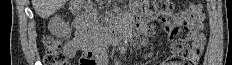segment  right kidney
<instances>
[{
    "label": "right kidney",
    "mask_w": 232,
    "mask_h": 65,
    "mask_svg": "<svg viewBox=\"0 0 232 65\" xmlns=\"http://www.w3.org/2000/svg\"><path fill=\"white\" fill-rule=\"evenodd\" d=\"M48 29L57 37L66 36L71 33V29L60 16H55L50 20Z\"/></svg>",
    "instance_id": "1"
}]
</instances>
